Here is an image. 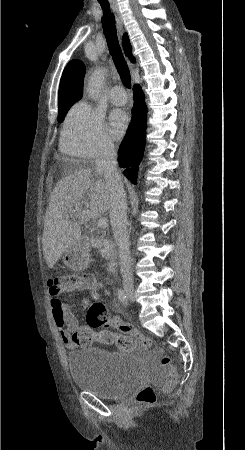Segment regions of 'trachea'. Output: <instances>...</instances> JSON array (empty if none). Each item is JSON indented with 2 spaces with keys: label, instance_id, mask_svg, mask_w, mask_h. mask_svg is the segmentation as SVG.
<instances>
[{
  "label": "trachea",
  "instance_id": "obj_1",
  "mask_svg": "<svg viewBox=\"0 0 245 450\" xmlns=\"http://www.w3.org/2000/svg\"><path fill=\"white\" fill-rule=\"evenodd\" d=\"M98 2L103 10L104 16L102 18V27L112 59L123 84L127 88H131L130 71L118 42L115 18L110 11V5L108 1L98 0Z\"/></svg>",
  "mask_w": 245,
  "mask_h": 450
}]
</instances>
